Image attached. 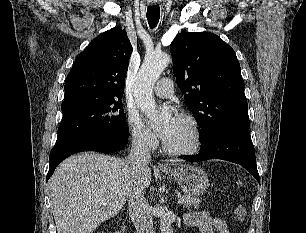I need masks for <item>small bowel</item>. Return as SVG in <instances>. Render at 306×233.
Here are the masks:
<instances>
[{"instance_id":"obj_1","label":"small bowel","mask_w":306,"mask_h":233,"mask_svg":"<svg viewBox=\"0 0 306 233\" xmlns=\"http://www.w3.org/2000/svg\"><path fill=\"white\" fill-rule=\"evenodd\" d=\"M187 226L198 227L201 233H231L225 220L207 212H192L184 217Z\"/></svg>"}]
</instances>
